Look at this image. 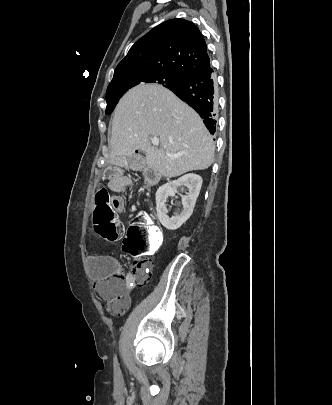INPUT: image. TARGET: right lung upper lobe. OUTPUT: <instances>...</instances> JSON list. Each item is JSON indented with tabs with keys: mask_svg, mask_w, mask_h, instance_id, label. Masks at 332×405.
Returning a JSON list of instances; mask_svg holds the SVG:
<instances>
[{
	"mask_svg": "<svg viewBox=\"0 0 332 405\" xmlns=\"http://www.w3.org/2000/svg\"><path fill=\"white\" fill-rule=\"evenodd\" d=\"M210 64L206 42L198 27L170 19L140 38L117 65L113 79L131 72H158L183 77Z\"/></svg>",
	"mask_w": 332,
	"mask_h": 405,
	"instance_id": "obj_1",
	"label": "right lung upper lobe"
}]
</instances>
